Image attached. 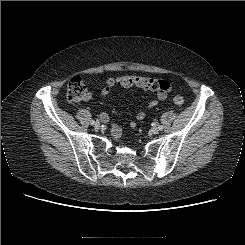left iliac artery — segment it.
Returning <instances> with one entry per match:
<instances>
[{
	"label": "left iliac artery",
	"instance_id": "1",
	"mask_svg": "<svg viewBox=\"0 0 245 245\" xmlns=\"http://www.w3.org/2000/svg\"><path fill=\"white\" fill-rule=\"evenodd\" d=\"M154 125H156V123H154ZM158 128H159L160 130H162V129H163V126H162V125H159Z\"/></svg>",
	"mask_w": 245,
	"mask_h": 245
}]
</instances>
